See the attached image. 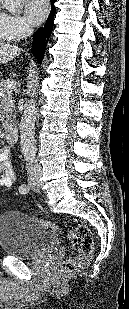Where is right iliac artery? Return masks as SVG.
Here are the masks:
<instances>
[{
  "label": "right iliac artery",
  "mask_w": 129,
  "mask_h": 309,
  "mask_svg": "<svg viewBox=\"0 0 129 309\" xmlns=\"http://www.w3.org/2000/svg\"><path fill=\"white\" fill-rule=\"evenodd\" d=\"M28 191H29V186L26 185V184H22V185L19 187V192H20L21 194H26Z\"/></svg>",
  "instance_id": "right-iliac-artery-1"
}]
</instances>
